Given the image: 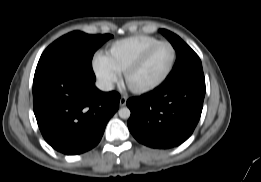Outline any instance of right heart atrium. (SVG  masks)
Returning <instances> with one entry per match:
<instances>
[{"label":"right heart atrium","instance_id":"1","mask_svg":"<svg viewBox=\"0 0 261 182\" xmlns=\"http://www.w3.org/2000/svg\"><path fill=\"white\" fill-rule=\"evenodd\" d=\"M92 68L104 89H111L119 79V73L113 68L106 55L96 53L92 59Z\"/></svg>","mask_w":261,"mask_h":182}]
</instances>
